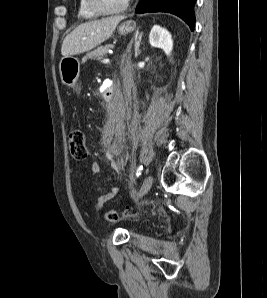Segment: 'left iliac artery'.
<instances>
[{
	"label": "left iliac artery",
	"mask_w": 267,
	"mask_h": 298,
	"mask_svg": "<svg viewBox=\"0 0 267 298\" xmlns=\"http://www.w3.org/2000/svg\"><path fill=\"white\" fill-rule=\"evenodd\" d=\"M142 170H143V166L139 165L137 170H136V177H139L141 175Z\"/></svg>",
	"instance_id": "44dca946"
}]
</instances>
